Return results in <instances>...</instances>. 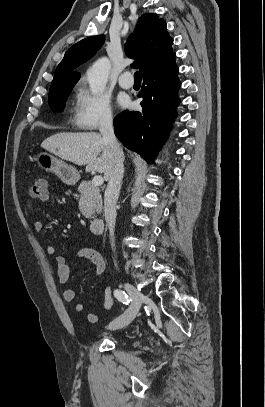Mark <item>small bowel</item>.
Wrapping results in <instances>:
<instances>
[{"instance_id":"small-bowel-1","label":"small bowel","mask_w":265,"mask_h":407,"mask_svg":"<svg viewBox=\"0 0 265 407\" xmlns=\"http://www.w3.org/2000/svg\"><path fill=\"white\" fill-rule=\"evenodd\" d=\"M33 228L36 232H41L44 229V223L41 220H36L33 223ZM46 253L50 256H52L55 260L56 267H57V274L59 281L62 284H67L70 280V270L69 267L64 259V257L60 256L57 254L56 249L52 245L46 246ZM80 258H85L90 260L94 264V273L96 275H100L104 272L105 270V261L100 254L99 251L93 248H82L80 249L78 253ZM76 297V292L73 288L69 287L66 288L63 292V298L66 302H73ZM113 305V298L111 295V290L109 287L105 289L104 292V301L102 304V308L104 310H109L112 308ZM84 310V304L83 303H76L74 305V311L76 313H81ZM87 320L89 323H97L98 321V315L96 313H89L87 315Z\"/></svg>"}]
</instances>
